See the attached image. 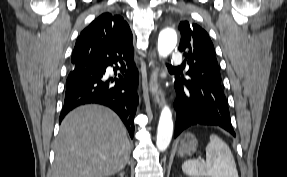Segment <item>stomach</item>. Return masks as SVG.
<instances>
[{"mask_svg":"<svg viewBox=\"0 0 287 177\" xmlns=\"http://www.w3.org/2000/svg\"><path fill=\"white\" fill-rule=\"evenodd\" d=\"M198 140L192 133L182 135L178 147V155L181 157L191 156L197 149Z\"/></svg>","mask_w":287,"mask_h":177,"instance_id":"0dacf381","label":"stomach"}]
</instances>
